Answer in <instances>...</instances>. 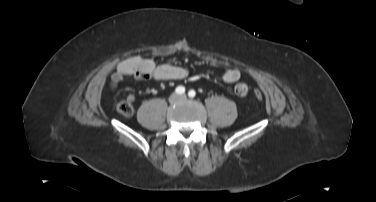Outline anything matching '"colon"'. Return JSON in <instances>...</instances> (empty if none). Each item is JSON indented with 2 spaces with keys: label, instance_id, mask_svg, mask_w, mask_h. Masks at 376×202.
<instances>
[{
  "label": "colon",
  "instance_id": "1",
  "mask_svg": "<svg viewBox=\"0 0 376 202\" xmlns=\"http://www.w3.org/2000/svg\"><path fill=\"white\" fill-rule=\"evenodd\" d=\"M255 96L258 100L263 98V94L261 91H256ZM134 97L132 95H128L124 100L120 101L116 108L117 111L124 115V116H131L134 113Z\"/></svg>",
  "mask_w": 376,
  "mask_h": 202
}]
</instances>
